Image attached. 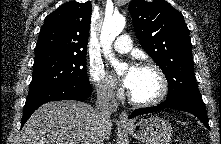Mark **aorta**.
Returning <instances> with one entry per match:
<instances>
[{"label": "aorta", "instance_id": "762f6f07", "mask_svg": "<svg viewBox=\"0 0 221 144\" xmlns=\"http://www.w3.org/2000/svg\"><path fill=\"white\" fill-rule=\"evenodd\" d=\"M125 23L126 20L123 15H113L109 18H105L100 35L103 53L119 75L122 74V71L126 68V64L119 63L113 56L111 53V45L124 29Z\"/></svg>", "mask_w": 221, "mask_h": 144}]
</instances>
